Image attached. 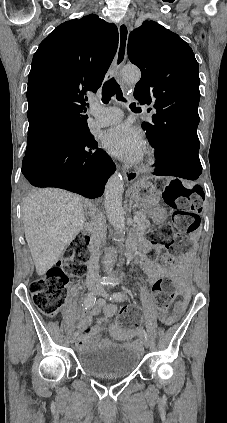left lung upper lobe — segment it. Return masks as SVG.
<instances>
[{
  "instance_id": "5c2ea615",
  "label": "left lung upper lobe",
  "mask_w": 227,
  "mask_h": 423,
  "mask_svg": "<svg viewBox=\"0 0 227 423\" xmlns=\"http://www.w3.org/2000/svg\"><path fill=\"white\" fill-rule=\"evenodd\" d=\"M128 57L141 70L134 97L154 104L152 123H142L147 138L184 120L199 121L198 62L190 46L155 21H145L130 33Z\"/></svg>"
}]
</instances>
